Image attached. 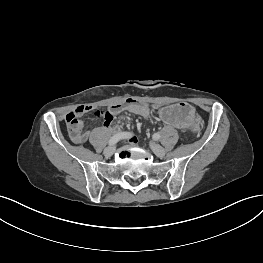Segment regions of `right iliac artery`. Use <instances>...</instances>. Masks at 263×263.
I'll use <instances>...</instances> for the list:
<instances>
[{
  "mask_svg": "<svg viewBox=\"0 0 263 263\" xmlns=\"http://www.w3.org/2000/svg\"><path fill=\"white\" fill-rule=\"evenodd\" d=\"M132 135L133 134L128 133V132H122V133L115 134L114 136L110 138L109 145L112 146L116 144L120 139L129 138V137H132Z\"/></svg>",
  "mask_w": 263,
  "mask_h": 263,
  "instance_id": "right-iliac-artery-1",
  "label": "right iliac artery"
}]
</instances>
